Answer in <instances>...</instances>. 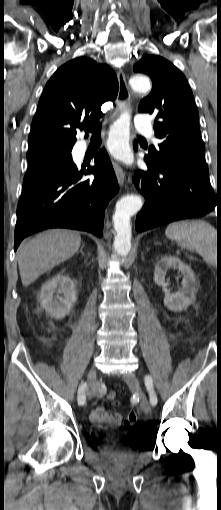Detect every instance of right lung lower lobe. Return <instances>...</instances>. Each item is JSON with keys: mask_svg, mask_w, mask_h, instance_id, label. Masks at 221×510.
Instances as JSON below:
<instances>
[{"mask_svg": "<svg viewBox=\"0 0 221 510\" xmlns=\"http://www.w3.org/2000/svg\"><path fill=\"white\" fill-rule=\"evenodd\" d=\"M93 174L86 179L83 176ZM119 186L105 149L95 166L25 175L17 207L14 250L27 236L48 228H71L102 236L104 213Z\"/></svg>", "mask_w": 221, "mask_h": 510, "instance_id": "98d812e1", "label": "right lung lower lobe"}]
</instances>
